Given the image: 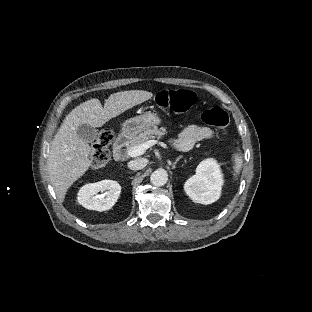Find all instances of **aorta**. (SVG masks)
<instances>
[{
  "label": "aorta",
  "mask_w": 312,
  "mask_h": 312,
  "mask_svg": "<svg viewBox=\"0 0 312 312\" xmlns=\"http://www.w3.org/2000/svg\"><path fill=\"white\" fill-rule=\"evenodd\" d=\"M168 180V174L167 171L159 168L155 170L151 176H150V181L154 186H163L166 184Z\"/></svg>",
  "instance_id": "762f6f07"
}]
</instances>
